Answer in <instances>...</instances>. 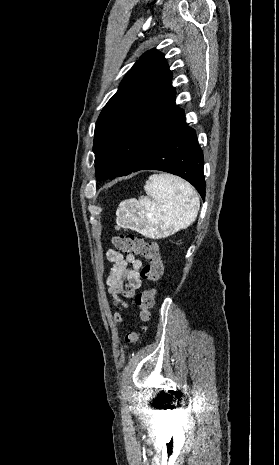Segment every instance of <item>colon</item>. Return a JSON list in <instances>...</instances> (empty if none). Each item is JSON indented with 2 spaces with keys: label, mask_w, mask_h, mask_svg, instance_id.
Returning a JSON list of instances; mask_svg holds the SVG:
<instances>
[{
  "label": "colon",
  "mask_w": 279,
  "mask_h": 465,
  "mask_svg": "<svg viewBox=\"0 0 279 465\" xmlns=\"http://www.w3.org/2000/svg\"><path fill=\"white\" fill-rule=\"evenodd\" d=\"M114 246L126 253L141 255L147 260V264L141 271V276L151 283L160 280L163 274V262L159 251V246L155 242L146 241L141 236L134 234H122L112 239ZM156 289L149 288L135 296V303L140 308V318L143 322H148L151 317L150 310L154 306ZM146 326L142 327L145 332ZM140 333L131 331L126 334L125 340L128 345L139 340Z\"/></svg>",
  "instance_id": "5ec220e1"
}]
</instances>
